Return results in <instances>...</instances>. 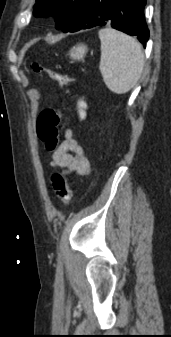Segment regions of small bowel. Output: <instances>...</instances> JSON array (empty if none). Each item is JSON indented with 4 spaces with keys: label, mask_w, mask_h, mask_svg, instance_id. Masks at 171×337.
<instances>
[{
    "label": "small bowel",
    "mask_w": 171,
    "mask_h": 337,
    "mask_svg": "<svg viewBox=\"0 0 171 337\" xmlns=\"http://www.w3.org/2000/svg\"><path fill=\"white\" fill-rule=\"evenodd\" d=\"M49 164L52 168L63 169L64 174L88 175L91 163L82 145L73 137L71 129L64 131V141L55 151L48 153Z\"/></svg>",
    "instance_id": "1"
}]
</instances>
